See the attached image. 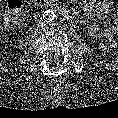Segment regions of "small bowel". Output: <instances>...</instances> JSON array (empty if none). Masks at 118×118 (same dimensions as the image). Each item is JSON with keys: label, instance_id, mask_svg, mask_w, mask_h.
<instances>
[{"label": "small bowel", "instance_id": "c3829d8e", "mask_svg": "<svg viewBox=\"0 0 118 118\" xmlns=\"http://www.w3.org/2000/svg\"><path fill=\"white\" fill-rule=\"evenodd\" d=\"M108 9L109 5L105 0H89L84 5V10L89 15H101L106 13ZM105 36L111 44L116 45L118 40V9L114 26L111 31L105 33Z\"/></svg>", "mask_w": 118, "mask_h": 118}]
</instances>
